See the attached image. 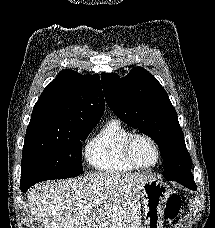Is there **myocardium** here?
I'll list each match as a JSON object with an SVG mask.
<instances>
[{
    "instance_id": "obj_1",
    "label": "myocardium",
    "mask_w": 215,
    "mask_h": 228,
    "mask_svg": "<svg viewBox=\"0 0 215 228\" xmlns=\"http://www.w3.org/2000/svg\"><path fill=\"white\" fill-rule=\"evenodd\" d=\"M138 139L147 140L152 145V147L156 153V160H155L154 164L151 165L150 167H141L134 160L133 146ZM123 155H124V158H125V161L127 162V164L134 170H139V171L153 170L154 168H156L158 166V164L161 161V150H160V147H159L158 143L156 142V140L153 137H151L150 135L141 133V132L132 133L125 140V142L123 144Z\"/></svg>"
}]
</instances>
